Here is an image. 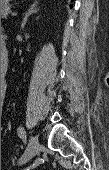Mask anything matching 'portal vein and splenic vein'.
<instances>
[{
    "instance_id": "obj_1",
    "label": "portal vein and splenic vein",
    "mask_w": 109,
    "mask_h": 170,
    "mask_svg": "<svg viewBox=\"0 0 109 170\" xmlns=\"http://www.w3.org/2000/svg\"><path fill=\"white\" fill-rule=\"evenodd\" d=\"M16 15H17V13H16V12H13V13H12V16H16Z\"/></svg>"
}]
</instances>
